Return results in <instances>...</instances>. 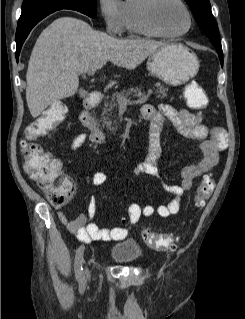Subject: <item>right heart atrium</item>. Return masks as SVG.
<instances>
[{"label":"right heart atrium","instance_id":"right-heart-atrium-1","mask_svg":"<svg viewBox=\"0 0 245 319\" xmlns=\"http://www.w3.org/2000/svg\"><path fill=\"white\" fill-rule=\"evenodd\" d=\"M99 11L106 31L119 35L124 30L121 0H98Z\"/></svg>","mask_w":245,"mask_h":319}]
</instances>
